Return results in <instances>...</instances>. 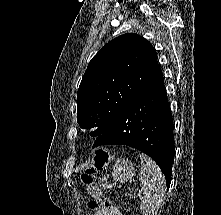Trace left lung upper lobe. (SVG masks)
Masks as SVG:
<instances>
[{
  "instance_id": "1",
  "label": "left lung upper lobe",
  "mask_w": 221,
  "mask_h": 215,
  "mask_svg": "<svg viewBox=\"0 0 221 215\" xmlns=\"http://www.w3.org/2000/svg\"><path fill=\"white\" fill-rule=\"evenodd\" d=\"M163 73L153 46L127 33L108 42L90 61L77 92V122L101 135Z\"/></svg>"
}]
</instances>
